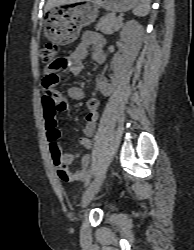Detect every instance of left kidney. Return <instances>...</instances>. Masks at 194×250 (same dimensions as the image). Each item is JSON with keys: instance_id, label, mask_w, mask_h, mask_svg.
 I'll list each match as a JSON object with an SVG mask.
<instances>
[{"instance_id": "5707ae66", "label": "left kidney", "mask_w": 194, "mask_h": 250, "mask_svg": "<svg viewBox=\"0 0 194 250\" xmlns=\"http://www.w3.org/2000/svg\"><path fill=\"white\" fill-rule=\"evenodd\" d=\"M143 35V27L135 20H130L123 26L120 37L122 41L125 42L127 57L124 72H126L135 61L142 46Z\"/></svg>"}]
</instances>
